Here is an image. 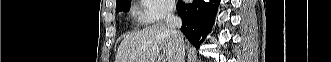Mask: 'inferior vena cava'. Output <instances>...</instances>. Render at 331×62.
<instances>
[{
    "instance_id": "inferior-vena-cava-1",
    "label": "inferior vena cava",
    "mask_w": 331,
    "mask_h": 62,
    "mask_svg": "<svg viewBox=\"0 0 331 62\" xmlns=\"http://www.w3.org/2000/svg\"><path fill=\"white\" fill-rule=\"evenodd\" d=\"M166 26L173 35L175 45V62H185V46L183 37L177 29L182 26L180 17L174 14V7H170L165 19Z\"/></svg>"
}]
</instances>
